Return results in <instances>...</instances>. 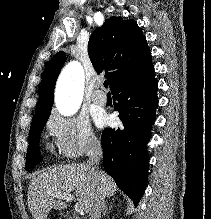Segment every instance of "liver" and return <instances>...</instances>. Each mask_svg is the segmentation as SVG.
<instances>
[{"instance_id":"obj_1","label":"liver","mask_w":211,"mask_h":219,"mask_svg":"<svg viewBox=\"0 0 211 219\" xmlns=\"http://www.w3.org/2000/svg\"><path fill=\"white\" fill-rule=\"evenodd\" d=\"M97 190L104 196L111 197L117 191L114 180L102 170L92 169L87 164H72L53 167L34 177L29 185L28 207L34 219H46L54 208H66L65 202L50 198L56 193L75 191L78 204L82 210L89 212Z\"/></svg>"}]
</instances>
